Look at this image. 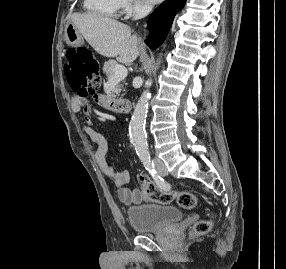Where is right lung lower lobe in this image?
Listing matches in <instances>:
<instances>
[{
  "label": "right lung lower lobe",
  "instance_id": "right-lung-lower-lobe-1",
  "mask_svg": "<svg viewBox=\"0 0 286 269\" xmlns=\"http://www.w3.org/2000/svg\"><path fill=\"white\" fill-rule=\"evenodd\" d=\"M186 0H166L155 9L147 21L151 35L146 44L156 49L165 40L175 15L184 7Z\"/></svg>",
  "mask_w": 286,
  "mask_h": 269
}]
</instances>
